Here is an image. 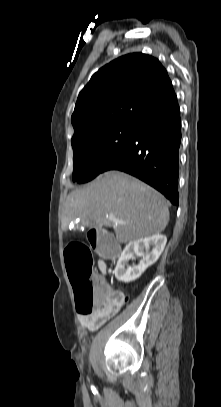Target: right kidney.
<instances>
[{
    "label": "right kidney",
    "mask_w": 221,
    "mask_h": 407,
    "mask_svg": "<svg viewBox=\"0 0 221 407\" xmlns=\"http://www.w3.org/2000/svg\"><path fill=\"white\" fill-rule=\"evenodd\" d=\"M166 242L167 238L162 234H155L129 242L122 251L114 270L116 279L125 283L138 279L149 266L158 260ZM151 246L153 249L149 252ZM144 250H146V254ZM135 254L142 257V259L137 266L131 267L128 262L134 258Z\"/></svg>",
    "instance_id": "right-kidney-1"
}]
</instances>
